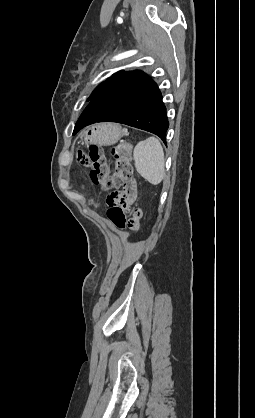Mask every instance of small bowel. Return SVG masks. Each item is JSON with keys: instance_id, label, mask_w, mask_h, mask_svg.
Instances as JSON below:
<instances>
[{"instance_id": "c3829d8e", "label": "small bowel", "mask_w": 255, "mask_h": 418, "mask_svg": "<svg viewBox=\"0 0 255 418\" xmlns=\"http://www.w3.org/2000/svg\"><path fill=\"white\" fill-rule=\"evenodd\" d=\"M137 188L134 180L128 181L124 185L123 195L127 201H132L136 197Z\"/></svg>"}]
</instances>
